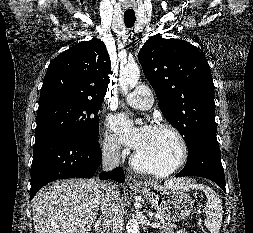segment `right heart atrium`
I'll list each match as a JSON object with an SVG mask.
<instances>
[{
  "label": "right heart atrium",
  "instance_id": "right-heart-atrium-1",
  "mask_svg": "<svg viewBox=\"0 0 253 233\" xmlns=\"http://www.w3.org/2000/svg\"><path fill=\"white\" fill-rule=\"evenodd\" d=\"M102 150L109 157H118L121 152V144L115 134L105 132L102 141Z\"/></svg>",
  "mask_w": 253,
  "mask_h": 233
}]
</instances>
